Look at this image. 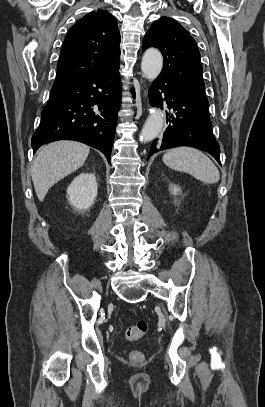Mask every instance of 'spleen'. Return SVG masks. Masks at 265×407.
<instances>
[{"mask_svg": "<svg viewBox=\"0 0 265 407\" xmlns=\"http://www.w3.org/2000/svg\"><path fill=\"white\" fill-rule=\"evenodd\" d=\"M163 162L171 169L189 173L207 184L217 183L220 179L219 170L210 158L192 147L170 149L163 156Z\"/></svg>", "mask_w": 265, "mask_h": 407, "instance_id": "spleen-1", "label": "spleen"}]
</instances>
